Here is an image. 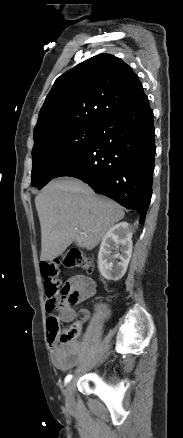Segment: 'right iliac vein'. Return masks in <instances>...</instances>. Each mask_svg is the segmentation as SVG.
I'll return each mask as SVG.
<instances>
[{"instance_id":"63e3f726","label":"right iliac vein","mask_w":183,"mask_h":438,"mask_svg":"<svg viewBox=\"0 0 183 438\" xmlns=\"http://www.w3.org/2000/svg\"><path fill=\"white\" fill-rule=\"evenodd\" d=\"M73 386H74V382L71 381V382L67 385V387H66V389H65V391H64V395H65V403H66V406H67L68 408H70V409L73 408V406H74Z\"/></svg>"}]
</instances>
